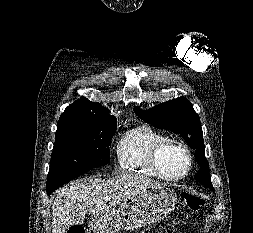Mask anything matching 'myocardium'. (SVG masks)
Segmentation results:
<instances>
[{
  "instance_id": "f54148a6",
  "label": "myocardium",
  "mask_w": 253,
  "mask_h": 233,
  "mask_svg": "<svg viewBox=\"0 0 253 233\" xmlns=\"http://www.w3.org/2000/svg\"><path fill=\"white\" fill-rule=\"evenodd\" d=\"M173 150L182 151L187 158V167L186 170L182 174L178 175H168L164 170V157L167 153ZM150 163L154 170L157 172L159 177L169 180V181H177L185 178L191 172L193 167V156L190 149L183 143L177 141H166L160 145H158L152 152Z\"/></svg>"
}]
</instances>
